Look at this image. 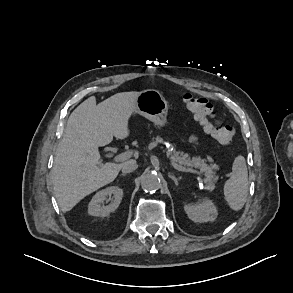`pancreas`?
Segmentation results:
<instances>
[{"label":"pancreas","instance_id":"1","mask_svg":"<svg viewBox=\"0 0 293 293\" xmlns=\"http://www.w3.org/2000/svg\"><path fill=\"white\" fill-rule=\"evenodd\" d=\"M154 139V138H153ZM158 141H161L162 139L157 136L155 138ZM170 160L174 163H177L178 165L193 169L196 168L199 170L200 173H202L205 178L203 179L206 189L209 191H212L215 188V182L218 179V176L216 175V170L218 169V165L216 164H210L208 165L207 162H211V158H200V157H192L190 158L188 154H184L183 152L176 151L175 149L171 152H169Z\"/></svg>","mask_w":293,"mask_h":293}]
</instances>
